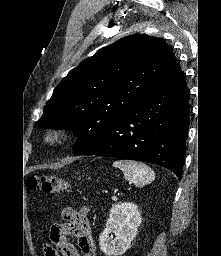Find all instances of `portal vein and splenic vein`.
I'll return each mask as SVG.
<instances>
[{
	"instance_id": "1",
	"label": "portal vein and splenic vein",
	"mask_w": 221,
	"mask_h": 256,
	"mask_svg": "<svg viewBox=\"0 0 221 256\" xmlns=\"http://www.w3.org/2000/svg\"><path fill=\"white\" fill-rule=\"evenodd\" d=\"M112 200L117 201V197L116 196H112Z\"/></svg>"
}]
</instances>
